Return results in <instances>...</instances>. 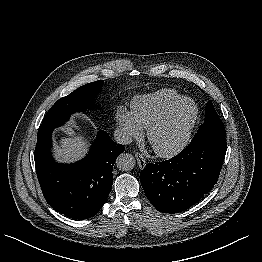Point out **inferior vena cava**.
I'll use <instances>...</instances> for the list:
<instances>
[{"instance_id": "1", "label": "inferior vena cava", "mask_w": 262, "mask_h": 262, "mask_svg": "<svg viewBox=\"0 0 262 262\" xmlns=\"http://www.w3.org/2000/svg\"><path fill=\"white\" fill-rule=\"evenodd\" d=\"M114 140L119 143V144H123V145H126V144H129L132 142V138L131 136L123 131V130H120V129H116L115 132H114Z\"/></svg>"}]
</instances>
